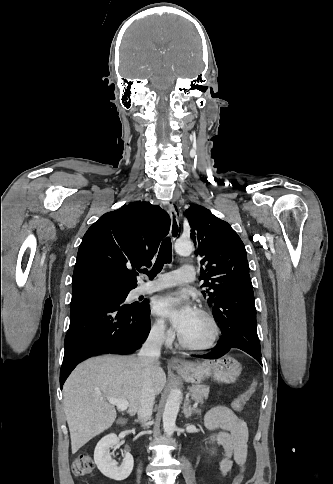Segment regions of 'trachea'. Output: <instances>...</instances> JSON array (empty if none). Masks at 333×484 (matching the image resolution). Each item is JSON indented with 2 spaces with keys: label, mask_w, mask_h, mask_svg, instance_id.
I'll return each instance as SVG.
<instances>
[{
  "label": "trachea",
  "mask_w": 333,
  "mask_h": 484,
  "mask_svg": "<svg viewBox=\"0 0 333 484\" xmlns=\"http://www.w3.org/2000/svg\"><path fill=\"white\" fill-rule=\"evenodd\" d=\"M172 261V244L169 237L165 238L160 246L159 253L154 263V266L150 271L144 270L143 273L147 274L150 279H153L163 268L164 264L171 263Z\"/></svg>",
  "instance_id": "obj_1"
}]
</instances>
